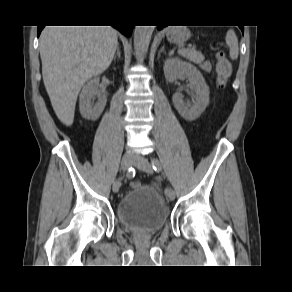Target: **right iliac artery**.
I'll return each mask as SVG.
<instances>
[{
    "label": "right iliac artery",
    "instance_id": "1",
    "mask_svg": "<svg viewBox=\"0 0 292 292\" xmlns=\"http://www.w3.org/2000/svg\"><path fill=\"white\" fill-rule=\"evenodd\" d=\"M135 176V170L131 167L128 169L127 171V174H126V177L128 179H131ZM117 182H118V185H121L122 184V181L120 179H117Z\"/></svg>",
    "mask_w": 292,
    "mask_h": 292
}]
</instances>
